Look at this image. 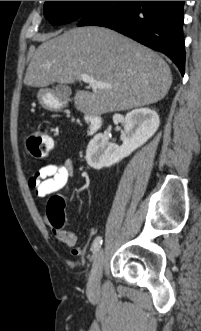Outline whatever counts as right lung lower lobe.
I'll return each mask as SVG.
<instances>
[{
	"label": "right lung lower lobe",
	"instance_id": "right-lung-lower-lobe-1",
	"mask_svg": "<svg viewBox=\"0 0 201 331\" xmlns=\"http://www.w3.org/2000/svg\"><path fill=\"white\" fill-rule=\"evenodd\" d=\"M185 1H103L77 23L116 30L150 48L166 54L185 71L182 32Z\"/></svg>",
	"mask_w": 201,
	"mask_h": 331
}]
</instances>
